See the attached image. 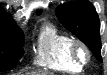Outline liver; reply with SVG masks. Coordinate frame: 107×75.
Segmentation results:
<instances>
[{"instance_id": "6515ba94", "label": "liver", "mask_w": 107, "mask_h": 75, "mask_svg": "<svg viewBox=\"0 0 107 75\" xmlns=\"http://www.w3.org/2000/svg\"><path fill=\"white\" fill-rule=\"evenodd\" d=\"M18 75H21V74H18ZM27 75H52V74H49L47 72H44V73H41V72H33L31 74H27Z\"/></svg>"}]
</instances>
